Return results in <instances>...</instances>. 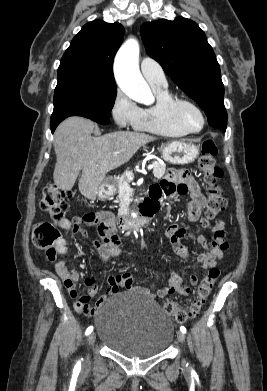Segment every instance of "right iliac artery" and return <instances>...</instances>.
<instances>
[{"mask_svg":"<svg viewBox=\"0 0 267 391\" xmlns=\"http://www.w3.org/2000/svg\"><path fill=\"white\" fill-rule=\"evenodd\" d=\"M92 331H93V326L88 327L87 330H86V335H89ZM80 367H81V364H80V362H78V363L76 364V366H75V369H76L77 371H79V370H80Z\"/></svg>","mask_w":267,"mask_h":391,"instance_id":"1","label":"right iliac artery"}]
</instances>
